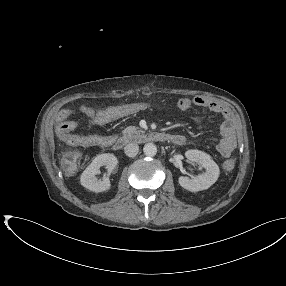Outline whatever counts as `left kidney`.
<instances>
[{
  "label": "left kidney",
  "instance_id": "obj_1",
  "mask_svg": "<svg viewBox=\"0 0 286 286\" xmlns=\"http://www.w3.org/2000/svg\"><path fill=\"white\" fill-rule=\"evenodd\" d=\"M185 156L191 162H195L204 168L206 172L192 179L180 176L178 181L181 187L192 192H197L208 189L217 181L220 170L210 155L199 150H188L185 152Z\"/></svg>",
  "mask_w": 286,
  "mask_h": 286
}]
</instances>
